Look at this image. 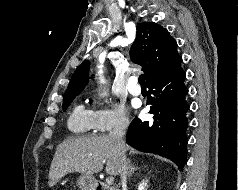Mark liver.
<instances>
[{
	"label": "liver",
	"mask_w": 238,
	"mask_h": 190,
	"mask_svg": "<svg viewBox=\"0 0 238 190\" xmlns=\"http://www.w3.org/2000/svg\"><path fill=\"white\" fill-rule=\"evenodd\" d=\"M105 161L107 174L120 173L119 152L110 136L66 139L56 149L48 184L53 187L68 173L93 176L102 171Z\"/></svg>",
	"instance_id": "obj_1"
}]
</instances>
